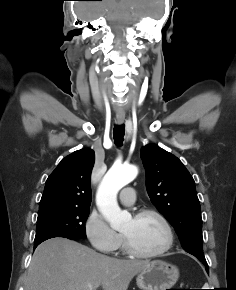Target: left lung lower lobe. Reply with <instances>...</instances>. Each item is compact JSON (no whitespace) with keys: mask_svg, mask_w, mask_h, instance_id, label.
Instances as JSON below:
<instances>
[{"mask_svg":"<svg viewBox=\"0 0 236 290\" xmlns=\"http://www.w3.org/2000/svg\"><path fill=\"white\" fill-rule=\"evenodd\" d=\"M206 270H207V271L209 270L208 266H206Z\"/></svg>","mask_w":236,"mask_h":290,"instance_id":"1","label":"left lung lower lobe"}]
</instances>
